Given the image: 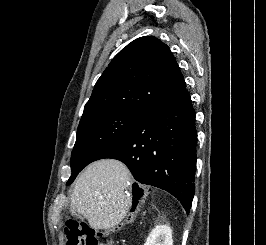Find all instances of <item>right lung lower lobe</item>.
Returning a JSON list of instances; mask_svg holds the SVG:
<instances>
[{"instance_id": "obj_1", "label": "right lung lower lobe", "mask_w": 266, "mask_h": 245, "mask_svg": "<svg viewBox=\"0 0 266 245\" xmlns=\"http://www.w3.org/2000/svg\"><path fill=\"white\" fill-rule=\"evenodd\" d=\"M196 144L195 110L185 87L147 111L94 161H122L137 181L169 192L188 214L195 193Z\"/></svg>"}]
</instances>
